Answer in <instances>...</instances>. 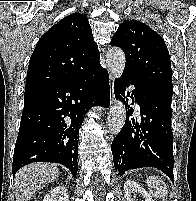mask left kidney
<instances>
[{
  "mask_svg": "<svg viewBox=\"0 0 196 201\" xmlns=\"http://www.w3.org/2000/svg\"><path fill=\"white\" fill-rule=\"evenodd\" d=\"M139 193L142 195L144 201H153L151 196L133 180H127L124 184V198L126 201H134L132 194Z\"/></svg>",
  "mask_w": 196,
  "mask_h": 201,
  "instance_id": "left-kidney-1",
  "label": "left kidney"
}]
</instances>
